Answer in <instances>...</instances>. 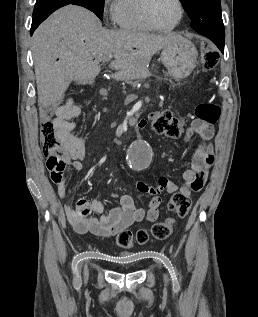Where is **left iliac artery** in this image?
Returning a JSON list of instances; mask_svg holds the SVG:
<instances>
[{
  "label": "left iliac artery",
  "instance_id": "obj_1",
  "mask_svg": "<svg viewBox=\"0 0 258 317\" xmlns=\"http://www.w3.org/2000/svg\"><path fill=\"white\" fill-rule=\"evenodd\" d=\"M179 290H180V288L176 287V288L174 289V292L177 293Z\"/></svg>",
  "mask_w": 258,
  "mask_h": 317
}]
</instances>
